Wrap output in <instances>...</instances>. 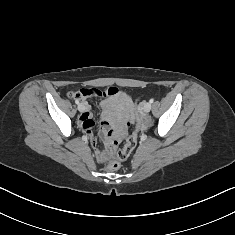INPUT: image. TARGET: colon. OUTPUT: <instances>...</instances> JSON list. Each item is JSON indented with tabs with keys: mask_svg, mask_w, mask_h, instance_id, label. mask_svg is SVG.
Instances as JSON below:
<instances>
[{
	"mask_svg": "<svg viewBox=\"0 0 235 235\" xmlns=\"http://www.w3.org/2000/svg\"><path fill=\"white\" fill-rule=\"evenodd\" d=\"M113 94V90L111 87L100 90L96 88H90L85 92L86 96H95V97H105ZM78 96V94L74 95ZM137 120L136 117H133L131 120L127 122V125L134 123ZM137 134L138 129L136 128L133 132L129 134L127 137L125 144L122 148L116 149V146L120 143V139L116 138L111 134L109 139V148L106 151H102L97 149V157L100 161H107V169L114 170L118 168L119 161H123L129 157V155L134 150L137 143Z\"/></svg>",
	"mask_w": 235,
	"mask_h": 235,
	"instance_id": "1",
	"label": "colon"
}]
</instances>
